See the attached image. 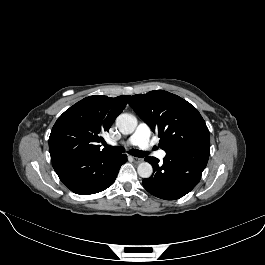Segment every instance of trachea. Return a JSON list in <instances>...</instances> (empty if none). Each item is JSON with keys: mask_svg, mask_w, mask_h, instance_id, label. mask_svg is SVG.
Listing matches in <instances>:
<instances>
[{"mask_svg": "<svg viewBox=\"0 0 265 265\" xmlns=\"http://www.w3.org/2000/svg\"><path fill=\"white\" fill-rule=\"evenodd\" d=\"M105 147L115 153L124 152V148L122 146H110V145L105 144ZM129 153L135 157H146L148 155V152L137 150V149H131Z\"/></svg>", "mask_w": 265, "mask_h": 265, "instance_id": "trachea-1", "label": "trachea"}]
</instances>
